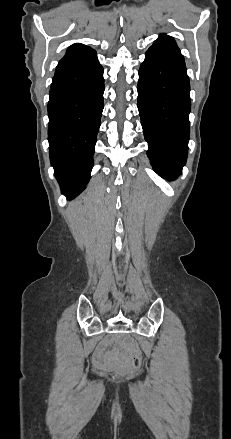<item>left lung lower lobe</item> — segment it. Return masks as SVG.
I'll use <instances>...</instances> for the list:
<instances>
[{"label": "left lung lower lobe", "mask_w": 231, "mask_h": 439, "mask_svg": "<svg viewBox=\"0 0 231 439\" xmlns=\"http://www.w3.org/2000/svg\"><path fill=\"white\" fill-rule=\"evenodd\" d=\"M138 109L155 172L176 179L190 136V83L181 53L150 47L139 69Z\"/></svg>", "instance_id": "1"}]
</instances>
